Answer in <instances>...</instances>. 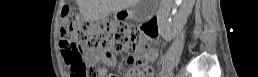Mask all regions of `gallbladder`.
Returning <instances> with one entry per match:
<instances>
[{"label":"gallbladder","instance_id":"gallbladder-1","mask_svg":"<svg viewBox=\"0 0 258 77\" xmlns=\"http://www.w3.org/2000/svg\"><path fill=\"white\" fill-rule=\"evenodd\" d=\"M152 1L150 0H139L138 3L132 8V14L133 18L136 21H144L151 14H153L154 9L152 5L154 3H151Z\"/></svg>","mask_w":258,"mask_h":77}]
</instances>
